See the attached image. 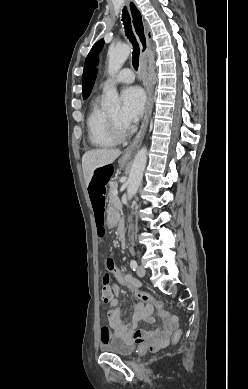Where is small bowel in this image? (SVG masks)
<instances>
[{"instance_id": "obj_1", "label": "small bowel", "mask_w": 248, "mask_h": 389, "mask_svg": "<svg viewBox=\"0 0 248 389\" xmlns=\"http://www.w3.org/2000/svg\"><path fill=\"white\" fill-rule=\"evenodd\" d=\"M114 258V255L111 256ZM124 274V273H123ZM126 281H132L137 286V289L141 286V283L136 278L129 274H124ZM121 292V291H120ZM111 298L107 302L109 310L107 313L110 329L106 326L102 327L100 333L101 343H104L111 339V337H118L125 341H131L142 346L154 350L156 348L164 346L173 331L177 326L176 319L166 311L158 312V316L162 319V324L153 331H145L138 329V324L141 321L153 323L155 321L152 316L153 309L149 305H143L142 303H136L129 322H124L122 318V311L118 308V298H115L112 294V288L110 289Z\"/></svg>"}]
</instances>
